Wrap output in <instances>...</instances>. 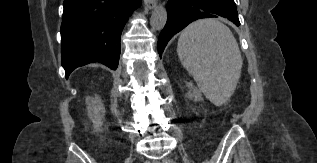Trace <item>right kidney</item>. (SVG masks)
<instances>
[{
    "instance_id": "1",
    "label": "right kidney",
    "mask_w": 317,
    "mask_h": 163,
    "mask_svg": "<svg viewBox=\"0 0 317 163\" xmlns=\"http://www.w3.org/2000/svg\"><path fill=\"white\" fill-rule=\"evenodd\" d=\"M87 115L93 122V129L95 132H101L103 120L105 116V107L99 96L87 97Z\"/></svg>"
}]
</instances>
